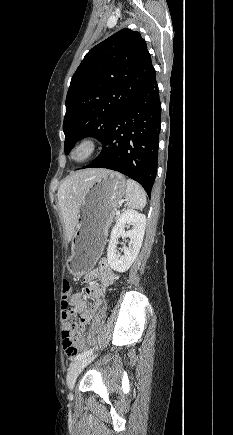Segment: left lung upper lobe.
I'll list each match as a JSON object with an SVG mask.
<instances>
[{
	"instance_id": "5c2ea615",
	"label": "left lung upper lobe",
	"mask_w": 233,
	"mask_h": 435,
	"mask_svg": "<svg viewBox=\"0 0 233 435\" xmlns=\"http://www.w3.org/2000/svg\"><path fill=\"white\" fill-rule=\"evenodd\" d=\"M154 74L151 56L139 32L122 29L93 47L74 73L67 93L65 153L88 135L102 142L116 117Z\"/></svg>"
}]
</instances>
